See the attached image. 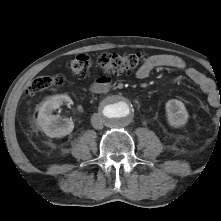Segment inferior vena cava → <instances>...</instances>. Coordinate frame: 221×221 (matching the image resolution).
Wrapping results in <instances>:
<instances>
[{"instance_id":"1","label":"inferior vena cava","mask_w":221,"mask_h":221,"mask_svg":"<svg viewBox=\"0 0 221 221\" xmlns=\"http://www.w3.org/2000/svg\"><path fill=\"white\" fill-rule=\"evenodd\" d=\"M103 123H104V120L100 114L98 113L93 114L91 118V124L95 129H102L104 125Z\"/></svg>"}]
</instances>
